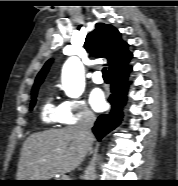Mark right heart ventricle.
Returning a JSON list of instances; mask_svg holds the SVG:
<instances>
[{"label":"right heart ventricle","instance_id":"right-heart-ventricle-1","mask_svg":"<svg viewBox=\"0 0 178 186\" xmlns=\"http://www.w3.org/2000/svg\"><path fill=\"white\" fill-rule=\"evenodd\" d=\"M41 120L44 124L50 127H57L63 123L61 117V107L56 106L53 100H47L41 108Z\"/></svg>","mask_w":178,"mask_h":186}]
</instances>
